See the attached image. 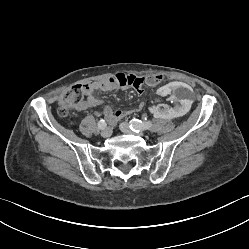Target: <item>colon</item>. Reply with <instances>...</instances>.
<instances>
[{"label":"colon","instance_id":"1","mask_svg":"<svg viewBox=\"0 0 249 249\" xmlns=\"http://www.w3.org/2000/svg\"><path fill=\"white\" fill-rule=\"evenodd\" d=\"M166 76L164 74H156L153 76L145 75L144 80L138 77H131L128 80V85L132 88L137 89L136 93L138 96H145L147 89L142 88L144 83L148 85L156 84L160 81H164ZM85 96V89L82 85H73L70 87L61 97L60 105L58 108L59 115L68 117L70 112L78 107L82 103Z\"/></svg>","mask_w":249,"mask_h":249}]
</instances>
